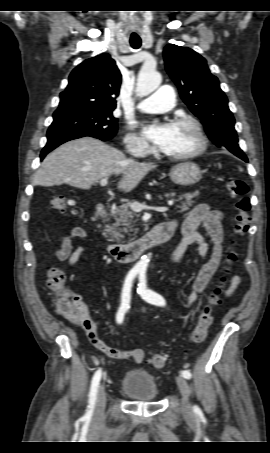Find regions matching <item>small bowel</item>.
Returning <instances> with one entry per match:
<instances>
[{"mask_svg": "<svg viewBox=\"0 0 270 453\" xmlns=\"http://www.w3.org/2000/svg\"><path fill=\"white\" fill-rule=\"evenodd\" d=\"M223 214L219 210H214L205 203L196 205L181 220L182 239L175 248L171 256V264L176 265L185 255L191 245L197 246V253L201 258H205L209 245L198 229L201 225L205 227L213 243V249L210 259L200 268L192 285V290L186 296L187 307L193 306L209 287L212 279L216 275L222 260V244L224 240V231L222 226ZM172 226L176 227L178 222L169 221ZM89 234L81 226L73 227L69 234L65 236L56 250V258L59 261L67 262L69 266L75 265L81 256L85 253L86 247H73L75 239H88ZM241 281L240 276L235 275L226 290L229 296L237 288ZM79 301V316L76 318L67 317L73 325L81 328L87 334L91 344L104 355L117 360H131L140 364L144 360V352L141 349H121L108 346L99 336L97 325L90 316L87 305L83 302L81 296L75 295Z\"/></svg>", "mask_w": 270, "mask_h": 453, "instance_id": "c3829d8e", "label": "small bowel"}]
</instances>
